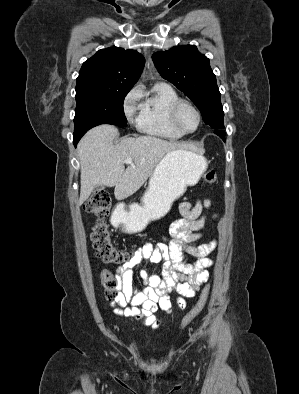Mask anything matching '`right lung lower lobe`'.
<instances>
[{
    "label": "right lung lower lobe",
    "mask_w": 299,
    "mask_h": 394,
    "mask_svg": "<svg viewBox=\"0 0 299 394\" xmlns=\"http://www.w3.org/2000/svg\"><path fill=\"white\" fill-rule=\"evenodd\" d=\"M85 133H86L85 131H79V132L74 131V140H73V143H74L75 146L77 145L78 141L80 140V138H81Z\"/></svg>",
    "instance_id": "obj_1"
}]
</instances>
